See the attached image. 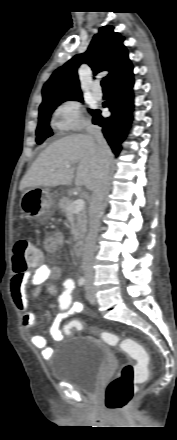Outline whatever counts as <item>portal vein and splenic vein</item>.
Returning a JSON list of instances; mask_svg holds the SVG:
<instances>
[{
  "label": "portal vein and splenic vein",
  "mask_w": 177,
  "mask_h": 440,
  "mask_svg": "<svg viewBox=\"0 0 177 440\" xmlns=\"http://www.w3.org/2000/svg\"><path fill=\"white\" fill-rule=\"evenodd\" d=\"M66 168H70V164L65 165ZM85 208V201L83 199H77L75 200L72 205L69 207V211L71 213H78L82 211Z\"/></svg>",
  "instance_id": "portal-vein-and-splenic-vein-1"
}]
</instances>
